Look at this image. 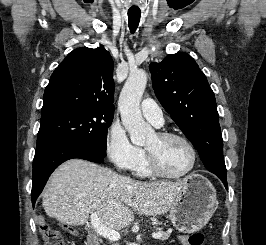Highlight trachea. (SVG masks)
<instances>
[{
  "instance_id": "trachea-1",
  "label": "trachea",
  "mask_w": 266,
  "mask_h": 245,
  "mask_svg": "<svg viewBox=\"0 0 266 245\" xmlns=\"http://www.w3.org/2000/svg\"><path fill=\"white\" fill-rule=\"evenodd\" d=\"M140 21V13H135L134 11L128 12V22L131 32H135Z\"/></svg>"
}]
</instances>
